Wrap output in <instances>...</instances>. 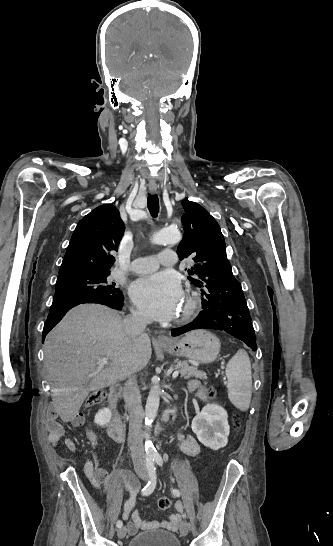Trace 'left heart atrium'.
<instances>
[{
    "mask_svg": "<svg viewBox=\"0 0 333 546\" xmlns=\"http://www.w3.org/2000/svg\"><path fill=\"white\" fill-rule=\"evenodd\" d=\"M131 296L144 314L160 321L175 317L184 298L179 278L169 271L138 279Z\"/></svg>",
    "mask_w": 333,
    "mask_h": 546,
    "instance_id": "obj_1",
    "label": "left heart atrium"
}]
</instances>
